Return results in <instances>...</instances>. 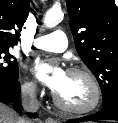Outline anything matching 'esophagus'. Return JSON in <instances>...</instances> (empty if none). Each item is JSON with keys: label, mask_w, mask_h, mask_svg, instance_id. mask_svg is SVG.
I'll return each mask as SVG.
<instances>
[{"label": "esophagus", "mask_w": 118, "mask_h": 123, "mask_svg": "<svg viewBox=\"0 0 118 123\" xmlns=\"http://www.w3.org/2000/svg\"><path fill=\"white\" fill-rule=\"evenodd\" d=\"M46 122H47V123H57V121H56L54 118H51V117H48V118L46 119Z\"/></svg>", "instance_id": "obj_1"}]
</instances>
